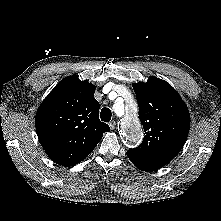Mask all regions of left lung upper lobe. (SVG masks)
<instances>
[{
	"label": "left lung upper lobe",
	"mask_w": 221,
	"mask_h": 221,
	"mask_svg": "<svg viewBox=\"0 0 221 221\" xmlns=\"http://www.w3.org/2000/svg\"><path fill=\"white\" fill-rule=\"evenodd\" d=\"M132 86L145 137L137 148L129 149L127 156L165 166L180 152L187 139L188 108L172 86L157 77Z\"/></svg>",
	"instance_id": "left-lung-upper-lobe-1"
}]
</instances>
